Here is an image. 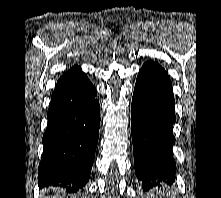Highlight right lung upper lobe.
<instances>
[{
  "instance_id": "obj_1",
  "label": "right lung upper lobe",
  "mask_w": 221,
  "mask_h": 198,
  "mask_svg": "<svg viewBox=\"0 0 221 198\" xmlns=\"http://www.w3.org/2000/svg\"><path fill=\"white\" fill-rule=\"evenodd\" d=\"M81 68L78 66H73L70 68L63 76L60 77V79L57 82V85L64 83L73 77H75L77 74L81 73Z\"/></svg>"
}]
</instances>
